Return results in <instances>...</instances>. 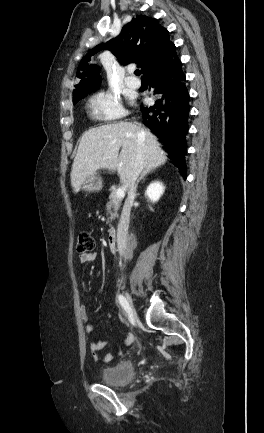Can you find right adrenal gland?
<instances>
[{"mask_svg": "<svg viewBox=\"0 0 264 433\" xmlns=\"http://www.w3.org/2000/svg\"><path fill=\"white\" fill-rule=\"evenodd\" d=\"M148 174V172H146V171H143L141 174H140V177L137 179V182H136V188L138 187V184H139V182L141 181V180H145V176Z\"/></svg>", "mask_w": 264, "mask_h": 433, "instance_id": "obj_1", "label": "right adrenal gland"}]
</instances>
